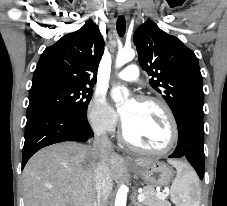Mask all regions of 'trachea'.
Masks as SVG:
<instances>
[{"label": "trachea", "mask_w": 227, "mask_h": 206, "mask_svg": "<svg viewBox=\"0 0 227 206\" xmlns=\"http://www.w3.org/2000/svg\"><path fill=\"white\" fill-rule=\"evenodd\" d=\"M117 33L120 37H123L126 31V20L124 16H119L116 23Z\"/></svg>", "instance_id": "1"}]
</instances>
